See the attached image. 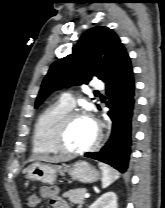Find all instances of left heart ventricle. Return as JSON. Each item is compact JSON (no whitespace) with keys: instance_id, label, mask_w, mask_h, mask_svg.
<instances>
[{"instance_id":"left-heart-ventricle-1","label":"left heart ventricle","mask_w":165,"mask_h":208,"mask_svg":"<svg viewBox=\"0 0 165 208\" xmlns=\"http://www.w3.org/2000/svg\"><path fill=\"white\" fill-rule=\"evenodd\" d=\"M95 133V125L91 119L78 117L66 129L63 143L69 149H83L94 141Z\"/></svg>"}]
</instances>
